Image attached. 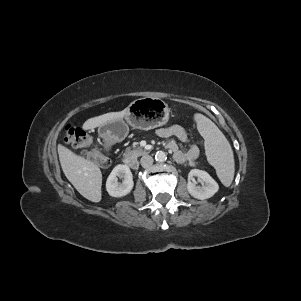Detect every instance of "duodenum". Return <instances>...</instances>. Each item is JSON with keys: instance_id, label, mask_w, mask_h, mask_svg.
I'll list each match as a JSON object with an SVG mask.
<instances>
[{"instance_id": "duodenum-1", "label": "duodenum", "mask_w": 301, "mask_h": 301, "mask_svg": "<svg viewBox=\"0 0 301 301\" xmlns=\"http://www.w3.org/2000/svg\"><path fill=\"white\" fill-rule=\"evenodd\" d=\"M113 146H114L113 141L110 139H107L104 141L102 149L104 152L109 153L112 151ZM125 165L131 169H135L137 166V163L133 159H126Z\"/></svg>"}]
</instances>
